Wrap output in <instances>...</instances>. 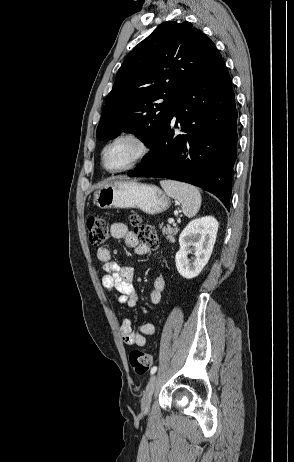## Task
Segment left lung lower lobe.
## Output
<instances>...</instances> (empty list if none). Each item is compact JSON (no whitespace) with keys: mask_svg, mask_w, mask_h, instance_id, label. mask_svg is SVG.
<instances>
[{"mask_svg":"<svg viewBox=\"0 0 294 462\" xmlns=\"http://www.w3.org/2000/svg\"><path fill=\"white\" fill-rule=\"evenodd\" d=\"M236 124L232 81L221 59L186 87L164 131L149 146L153 154L128 175L193 184L216 195L229 210ZM178 126L181 134L175 135Z\"/></svg>","mask_w":294,"mask_h":462,"instance_id":"obj_1","label":"left lung lower lobe"}]
</instances>
